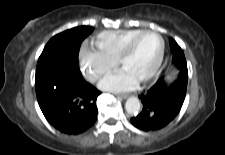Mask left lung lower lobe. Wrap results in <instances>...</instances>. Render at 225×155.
<instances>
[{"label": "left lung lower lobe", "instance_id": "0a47b994", "mask_svg": "<svg viewBox=\"0 0 225 155\" xmlns=\"http://www.w3.org/2000/svg\"><path fill=\"white\" fill-rule=\"evenodd\" d=\"M187 84L178 79L167 84L164 79L156 82L141 94L143 110L131 118V123L143 131H156L168 125L179 113L186 95Z\"/></svg>", "mask_w": 225, "mask_h": 155}]
</instances>
